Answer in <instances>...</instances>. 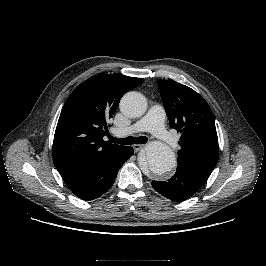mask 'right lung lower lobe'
<instances>
[{
	"mask_svg": "<svg viewBox=\"0 0 266 266\" xmlns=\"http://www.w3.org/2000/svg\"><path fill=\"white\" fill-rule=\"evenodd\" d=\"M134 154L124 146L113 155L61 172L69 189L83 200H93L106 193L114 183L122 164Z\"/></svg>",
	"mask_w": 266,
	"mask_h": 266,
	"instance_id": "1",
	"label": "right lung lower lobe"
}]
</instances>
